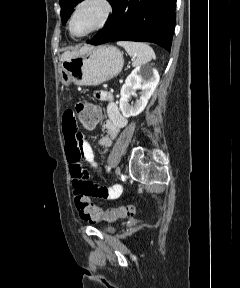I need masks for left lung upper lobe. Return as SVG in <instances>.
Here are the masks:
<instances>
[{
	"instance_id": "1",
	"label": "left lung upper lobe",
	"mask_w": 240,
	"mask_h": 288,
	"mask_svg": "<svg viewBox=\"0 0 240 288\" xmlns=\"http://www.w3.org/2000/svg\"><path fill=\"white\" fill-rule=\"evenodd\" d=\"M82 0H60L61 6V19L65 22L69 17L71 10L75 5H77ZM111 4L113 0H108Z\"/></svg>"
}]
</instances>
